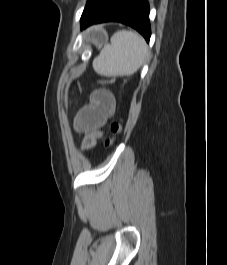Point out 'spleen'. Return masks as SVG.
I'll use <instances>...</instances> for the list:
<instances>
[{"mask_svg":"<svg viewBox=\"0 0 227 265\" xmlns=\"http://www.w3.org/2000/svg\"><path fill=\"white\" fill-rule=\"evenodd\" d=\"M147 45L139 34L120 30L93 60L96 73L103 76L133 75L148 57Z\"/></svg>","mask_w":227,"mask_h":265,"instance_id":"3e777b00","label":"spleen"}]
</instances>
